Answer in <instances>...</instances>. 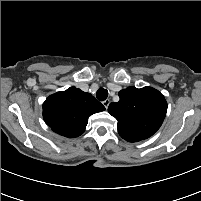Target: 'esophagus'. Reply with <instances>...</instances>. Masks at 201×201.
<instances>
[{"mask_svg": "<svg viewBox=\"0 0 201 201\" xmlns=\"http://www.w3.org/2000/svg\"><path fill=\"white\" fill-rule=\"evenodd\" d=\"M102 103H103L104 107L107 109L108 106H109V104H110V100H109V99H106V100H104Z\"/></svg>", "mask_w": 201, "mask_h": 201, "instance_id": "obj_1", "label": "esophagus"}]
</instances>
